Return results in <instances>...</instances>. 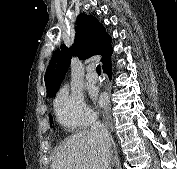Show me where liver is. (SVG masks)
I'll use <instances>...</instances> for the list:
<instances>
[{
	"label": "liver",
	"instance_id": "obj_1",
	"mask_svg": "<svg viewBox=\"0 0 177 169\" xmlns=\"http://www.w3.org/2000/svg\"><path fill=\"white\" fill-rule=\"evenodd\" d=\"M102 150L87 130L71 136L56 153L51 169H101Z\"/></svg>",
	"mask_w": 177,
	"mask_h": 169
}]
</instances>
